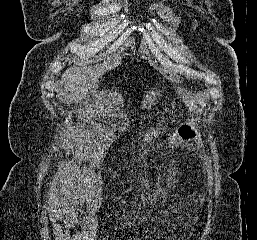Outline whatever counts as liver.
<instances>
[{"label":"liver","instance_id":"6515ba94","mask_svg":"<svg viewBox=\"0 0 257 240\" xmlns=\"http://www.w3.org/2000/svg\"><path fill=\"white\" fill-rule=\"evenodd\" d=\"M98 65L75 67L66 69L60 81L59 91L63 93L67 102L81 98L98 80Z\"/></svg>","mask_w":257,"mask_h":240}]
</instances>
